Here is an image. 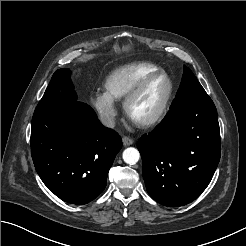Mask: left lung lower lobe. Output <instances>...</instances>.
Wrapping results in <instances>:
<instances>
[{"label":"left lung lower lobe","instance_id":"1","mask_svg":"<svg viewBox=\"0 0 246 246\" xmlns=\"http://www.w3.org/2000/svg\"><path fill=\"white\" fill-rule=\"evenodd\" d=\"M149 195L178 207L194 201L210 183L220 160V129L209 96L170 109L137 143Z\"/></svg>","mask_w":246,"mask_h":246}]
</instances>
